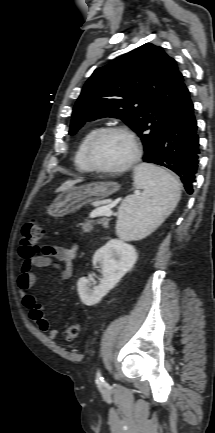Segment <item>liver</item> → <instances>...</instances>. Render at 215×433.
I'll return each mask as SVG.
<instances>
[{
	"instance_id": "obj_1",
	"label": "liver",
	"mask_w": 215,
	"mask_h": 433,
	"mask_svg": "<svg viewBox=\"0 0 215 433\" xmlns=\"http://www.w3.org/2000/svg\"><path fill=\"white\" fill-rule=\"evenodd\" d=\"M83 179L79 178V179H75V180H68L66 182H64L57 190L56 192H63V191H67L70 188H72L75 184L82 182Z\"/></svg>"
}]
</instances>
